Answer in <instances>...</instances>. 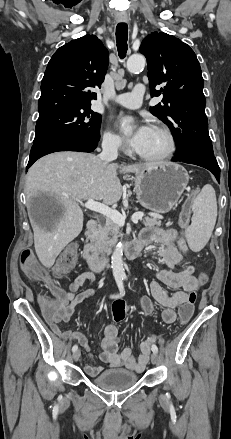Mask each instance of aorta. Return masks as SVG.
<instances>
[{"label": "aorta", "mask_w": 231, "mask_h": 439, "mask_svg": "<svg viewBox=\"0 0 231 439\" xmlns=\"http://www.w3.org/2000/svg\"><path fill=\"white\" fill-rule=\"evenodd\" d=\"M145 63L146 60L143 55L134 54L127 60V69L133 73L138 72L145 67ZM123 250L124 245L122 243L117 244L111 257V268L115 278H123L126 276L123 267Z\"/></svg>", "instance_id": "762f6f07"}]
</instances>
